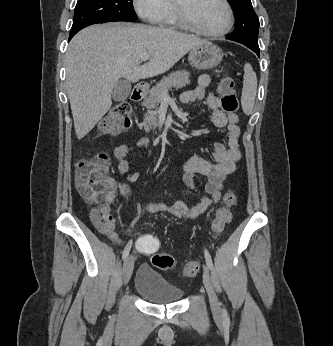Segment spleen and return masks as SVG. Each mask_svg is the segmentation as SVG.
<instances>
[{"label": "spleen", "mask_w": 333, "mask_h": 346, "mask_svg": "<svg viewBox=\"0 0 333 346\" xmlns=\"http://www.w3.org/2000/svg\"><path fill=\"white\" fill-rule=\"evenodd\" d=\"M257 93V77L249 63L244 65V81L241 96L242 109L246 114H251Z\"/></svg>", "instance_id": "obj_1"}]
</instances>
